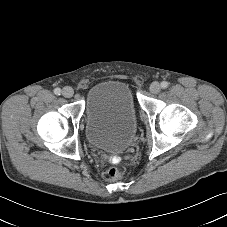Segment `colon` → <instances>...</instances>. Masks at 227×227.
<instances>
[{
  "label": "colon",
  "instance_id": "1",
  "mask_svg": "<svg viewBox=\"0 0 227 227\" xmlns=\"http://www.w3.org/2000/svg\"><path fill=\"white\" fill-rule=\"evenodd\" d=\"M102 176L106 181L113 182L122 177V172L119 168L111 166L103 170Z\"/></svg>",
  "mask_w": 227,
  "mask_h": 227
}]
</instances>
